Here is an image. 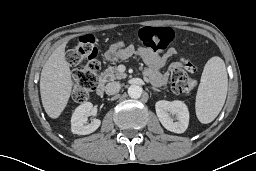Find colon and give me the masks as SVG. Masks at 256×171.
Masks as SVG:
<instances>
[{
	"label": "colon",
	"mask_w": 256,
	"mask_h": 171,
	"mask_svg": "<svg viewBox=\"0 0 256 171\" xmlns=\"http://www.w3.org/2000/svg\"><path fill=\"white\" fill-rule=\"evenodd\" d=\"M173 39L170 27H142L138 32L139 44L155 53H163ZM98 47L92 34L81 36L68 53V61L74 66L72 99L83 103L95 89L100 65L97 60ZM196 71V66L187 58H181L171 68L170 80L175 92L187 94L195 87V81L190 74Z\"/></svg>",
	"instance_id": "1"
}]
</instances>
